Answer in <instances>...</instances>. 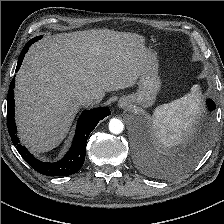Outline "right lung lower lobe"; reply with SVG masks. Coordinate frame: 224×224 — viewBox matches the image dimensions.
Returning <instances> with one entry per match:
<instances>
[{
  "label": "right lung lower lobe",
  "instance_id": "obj_1",
  "mask_svg": "<svg viewBox=\"0 0 224 224\" xmlns=\"http://www.w3.org/2000/svg\"><path fill=\"white\" fill-rule=\"evenodd\" d=\"M36 41V38H33L26 43L25 47L20 53L16 72L19 70L23 62V58L26 52L28 51V48ZM14 84L15 79L11 81L7 95V122L10 137L12 139L13 144L16 145V149L19 154L34 170L43 175L67 176L76 173L84 163L86 153V142L89 137V134L96 127L100 120L111 114L110 110L106 107H100L92 110L83 111L78 119L73 143L68 153L58 162H42L36 159L25 147L19 144V139L16 135L17 128L14 118Z\"/></svg>",
  "mask_w": 224,
  "mask_h": 224
}]
</instances>
